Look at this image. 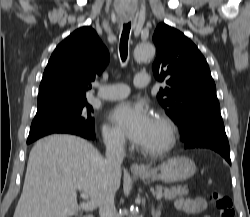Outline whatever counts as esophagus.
<instances>
[{"mask_svg":"<svg viewBox=\"0 0 250 217\" xmlns=\"http://www.w3.org/2000/svg\"><path fill=\"white\" fill-rule=\"evenodd\" d=\"M125 21H127V19H125ZM132 172H141L144 170V167L137 164V163H133L130 167Z\"/></svg>","mask_w":250,"mask_h":217,"instance_id":"34e87169","label":"esophagus"}]
</instances>
